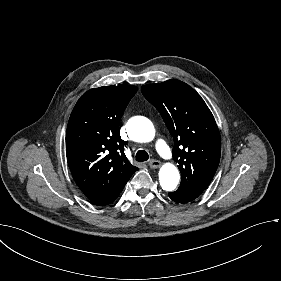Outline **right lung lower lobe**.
<instances>
[{
	"instance_id": "98d812e1",
	"label": "right lung lower lobe",
	"mask_w": 281,
	"mask_h": 281,
	"mask_svg": "<svg viewBox=\"0 0 281 281\" xmlns=\"http://www.w3.org/2000/svg\"><path fill=\"white\" fill-rule=\"evenodd\" d=\"M128 180L121 182L112 190L108 191L107 193H105L101 196H98V197L90 200V202L95 205H98V206H104V205L112 203L119 196V194L123 190V188Z\"/></svg>"
}]
</instances>
